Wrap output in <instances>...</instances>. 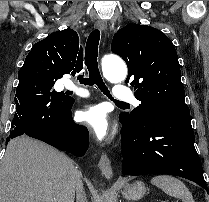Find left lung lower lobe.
Returning <instances> with one entry per match:
<instances>
[{
    "label": "left lung lower lobe",
    "mask_w": 209,
    "mask_h": 202,
    "mask_svg": "<svg viewBox=\"0 0 209 202\" xmlns=\"http://www.w3.org/2000/svg\"><path fill=\"white\" fill-rule=\"evenodd\" d=\"M120 122L123 175H177L209 194L194 147L190 115L149 111L139 123Z\"/></svg>",
    "instance_id": "0a47b994"
}]
</instances>
